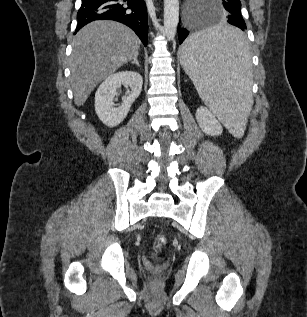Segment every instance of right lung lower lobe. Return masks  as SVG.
I'll list each match as a JSON object with an SVG mask.
<instances>
[{
    "label": "right lung lower lobe",
    "mask_w": 307,
    "mask_h": 317,
    "mask_svg": "<svg viewBox=\"0 0 307 317\" xmlns=\"http://www.w3.org/2000/svg\"><path fill=\"white\" fill-rule=\"evenodd\" d=\"M118 0H82L77 13L78 24L75 33L94 20H115L129 26L147 45L148 18L143 0H124L127 6L117 3Z\"/></svg>",
    "instance_id": "obj_1"
}]
</instances>
